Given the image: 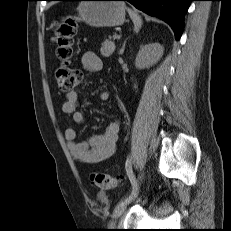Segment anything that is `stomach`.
Here are the masks:
<instances>
[{"mask_svg": "<svg viewBox=\"0 0 231 231\" xmlns=\"http://www.w3.org/2000/svg\"><path fill=\"white\" fill-rule=\"evenodd\" d=\"M80 18L92 27H114L125 21V6L112 0H86L78 8Z\"/></svg>", "mask_w": 231, "mask_h": 231, "instance_id": "stomach-1", "label": "stomach"}]
</instances>
